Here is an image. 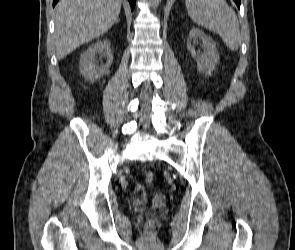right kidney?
Segmentation results:
<instances>
[{"label": "right kidney", "mask_w": 295, "mask_h": 250, "mask_svg": "<svg viewBox=\"0 0 295 250\" xmlns=\"http://www.w3.org/2000/svg\"><path fill=\"white\" fill-rule=\"evenodd\" d=\"M110 46L111 44L108 40H100L89 46L82 54L79 62V70L86 80L95 81L108 73L113 62V54ZM97 53L107 58L106 63H101L100 66L95 64V56Z\"/></svg>", "instance_id": "right-kidney-1"}]
</instances>
